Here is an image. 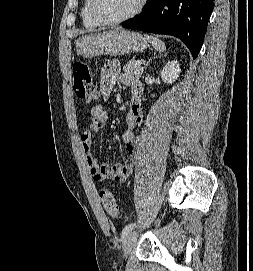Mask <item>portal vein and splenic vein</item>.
<instances>
[{
	"mask_svg": "<svg viewBox=\"0 0 253 271\" xmlns=\"http://www.w3.org/2000/svg\"><path fill=\"white\" fill-rule=\"evenodd\" d=\"M142 62L141 61H137V65L141 66Z\"/></svg>",
	"mask_w": 253,
	"mask_h": 271,
	"instance_id": "portal-vein-and-splenic-vein-1",
	"label": "portal vein and splenic vein"
}]
</instances>
